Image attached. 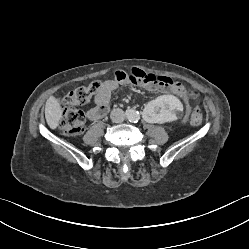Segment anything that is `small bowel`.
I'll return each mask as SVG.
<instances>
[{
    "mask_svg": "<svg viewBox=\"0 0 249 249\" xmlns=\"http://www.w3.org/2000/svg\"><path fill=\"white\" fill-rule=\"evenodd\" d=\"M143 76L144 71L140 67H135L131 71V74H127L126 72L121 70L116 71L114 74V79L104 81L101 90L95 95V106L89 108L86 113L88 119L93 121L104 119L109 112V102L112 93L116 91L120 85H130L131 87H136L140 83V79ZM161 78L163 80V83L157 87L158 93L160 95H166L168 93V90H170L172 92V95H175L179 98L182 104V113L187 115L189 112V108L186 104L185 99H183L182 85L173 82L167 77Z\"/></svg>",
    "mask_w": 249,
    "mask_h": 249,
    "instance_id": "1",
    "label": "small bowel"
}]
</instances>
